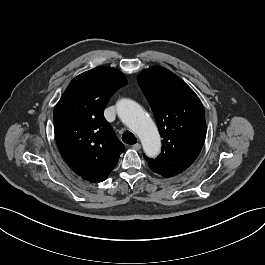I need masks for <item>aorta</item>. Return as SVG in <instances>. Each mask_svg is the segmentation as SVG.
<instances>
[{"instance_id":"aorta-1","label":"aorta","mask_w":265,"mask_h":265,"mask_svg":"<svg viewBox=\"0 0 265 265\" xmlns=\"http://www.w3.org/2000/svg\"><path fill=\"white\" fill-rule=\"evenodd\" d=\"M117 113L140 138L145 153L150 157L157 156L161 148L160 135L155 123L142 107L133 100L121 99L117 103Z\"/></svg>"}]
</instances>
